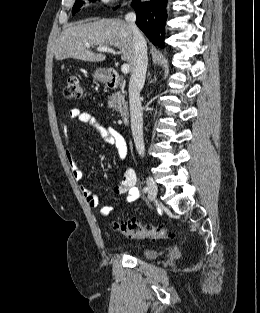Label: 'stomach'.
<instances>
[{
    "instance_id": "1",
    "label": "stomach",
    "mask_w": 260,
    "mask_h": 313,
    "mask_svg": "<svg viewBox=\"0 0 260 313\" xmlns=\"http://www.w3.org/2000/svg\"><path fill=\"white\" fill-rule=\"evenodd\" d=\"M94 79L97 81H104L106 79V74L103 70H96L94 73Z\"/></svg>"
}]
</instances>
